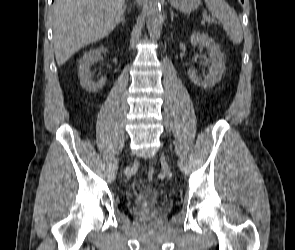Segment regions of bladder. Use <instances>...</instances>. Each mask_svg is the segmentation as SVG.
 Here are the masks:
<instances>
[{"label":"bladder","instance_id":"31cf9c89","mask_svg":"<svg viewBox=\"0 0 295 250\" xmlns=\"http://www.w3.org/2000/svg\"><path fill=\"white\" fill-rule=\"evenodd\" d=\"M160 201L159 192L152 186L141 188L135 196V204L139 210L153 209Z\"/></svg>","mask_w":295,"mask_h":250}]
</instances>
